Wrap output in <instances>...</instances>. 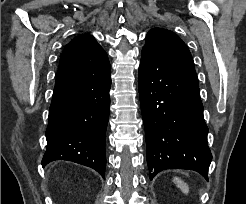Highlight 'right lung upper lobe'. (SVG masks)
<instances>
[{"mask_svg": "<svg viewBox=\"0 0 246 204\" xmlns=\"http://www.w3.org/2000/svg\"><path fill=\"white\" fill-rule=\"evenodd\" d=\"M107 54L90 35H80L72 39L64 48L60 69L109 66Z\"/></svg>", "mask_w": 246, "mask_h": 204, "instance_id": "cb5924a9", "label": "right lung upper lobe"}]
</instances>
